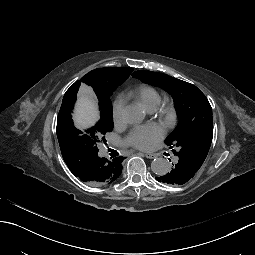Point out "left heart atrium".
I'll return each mask as SVG.
<instances>
[{
    "mask_svg": "<svg viewBox=\"0 0 255 255\" xmlns=\"http://www.w3.org/2000/svg\"><path fill=\"white\" fill-rule=\"evenodd\" d=\"M139 133V136H136ZM162 131L155 126H144L133 130L126 138L128 145L140 150H151L162 138Z\"/></svg>",
    "mask_w": 255,
    "mask_h": 255,
    "instance_id": "39dd6f15",
    "label": "left heart atrium"
}]
</instances>
